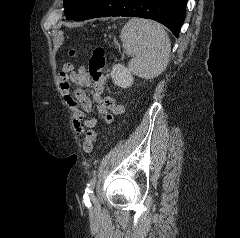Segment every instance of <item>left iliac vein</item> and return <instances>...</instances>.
Instances as JSON below:
<instances>
[{"instance_id": "4c4485c4", "label": "left iliac vein", "mask_w": 240, "mask_h": 238, "mask_svg": "<svg viewBox=\"0 0 240 238\" xmlns=\"http://www.w3.org/2000/svg\"><path fill=\"white\" fill-rule=\"evenodd\" d=\"M91 200H92L93 206H95V199L92 196H91Z\"/></svg>"}]
</instances>
